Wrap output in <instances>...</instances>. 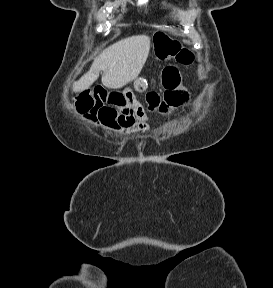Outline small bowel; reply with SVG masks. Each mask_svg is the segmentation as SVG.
Masks as SVG:
<instances>
[{"instance_id": "c3829d8e", "label": "small bowel", "mask_w": 273, "mask_h": 288, "mask_svg": "<svg viewBox=\"0 0 273 288\" xmlns=\"http://www.w3.org/2000/svg\"><path fill=\"white\" fill-rule=\"evenodd\" d=\"M150 129L148 124V117L146 113L142 110V108L137 107V120L134 125L127 129V134L133 132L147 131Z\"/></svg>"}]
</instances>
